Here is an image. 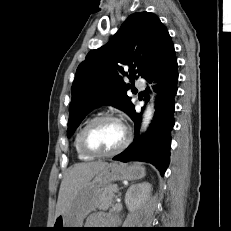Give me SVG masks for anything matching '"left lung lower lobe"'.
Returning <instances> with one entry per match:
<instances>
[{
	"label": "left lung lower lobe",
	"mask_w": 231,
	"mask_h": 231,
	"mask_svg": "<svg viewBox=\"0 0 231 231\" xmlns=\"http://www.w3.org/2000/svg\"><path fill=\"white\" fill-rule=\"evenodd\" d=\"M143 78L149 83L152 79L158 83L155 116L145 136L140 138L138 129L141 115L134 110L130 116L135 122L134 142L113 160L148 162L164 174L169 164L170 131L174 126V97L177 93L178 82L177 58L170 35L166 37ZM146 90L149 91V88Z\"/></svg>",
	"instance_id": "1"
}]
</instances>
